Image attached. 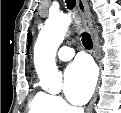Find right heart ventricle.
<instances>
[{"instance_id":"right-heart-ventricle-1","label":"right heart ventricle","mask_w":121,"mask_h":113,"mask_svg":"<svg viewBox=\"0 0 121 113\" xmlns=\"http://www.w3.org/2000/svg\"><path fill=\"white\" fill-rule=\"evenodd\" d=\"M57 110L53 96L45 90L34 91L28 103V113H54Z\"/></svg>"}]
</instances>
